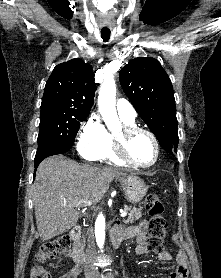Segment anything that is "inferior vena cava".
<instances>
[{
    "label": "inferior vena cava",
    "mask_w": 221,
    "mask_h": 278,
    "mask_svg": "<svg viewBox=\"0 0 221 278\" xmlns=\"http://www.w3.org/2000/svg\"><path fill=\"white\" fill-rule=\"evenodd\" d=\"M87 248L85 252L86 262L84 265L85 271H95V266L93 264L95 258V244H94V235L92 228L88 229V239H87Z\"/></svg>",
    "instance_id": "602c4592"
}]
</instances>
